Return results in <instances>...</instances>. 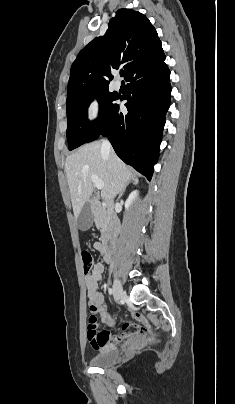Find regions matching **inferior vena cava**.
<instances>
[{"label":"inferior vena cava","mask_w":235,"mask_h":404,"mask_svg":"<svg viewBox=\"0 0 235 404\" xmlns=\"http://www.w3.org/2000/svg\"><path fill=\"white\" fill-rule=\"evenodd\" d=\"M102 150H103V151H106V152L111 151V144H110V142H109L107 139H104V140L102 141Z\"/></svg>","instance_id":"1"}]
</instances>
